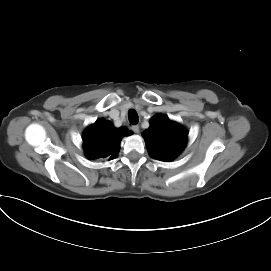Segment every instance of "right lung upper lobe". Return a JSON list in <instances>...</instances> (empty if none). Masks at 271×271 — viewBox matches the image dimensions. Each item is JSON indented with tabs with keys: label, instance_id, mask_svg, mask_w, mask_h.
Returning <instances> with one entry per match:
<instances>
[{
	"label": "right lung upper lobe",
	"instance_id": "obj_1",
	"mask_svg": "<svg viewBox=\"0 0 271 271\" xmlns=\"http://www.w3.org/2000/svg\"><path fill=\"white\" fill-rule=\"evenodd\" d=\"M132 132L125 127L115 128L110 121L97 120L83 134V144L89 159L116 158L122 137Z\"/></svg>",
	"mask_w": 271,
	"mask_h": 271
}]
</instances>
